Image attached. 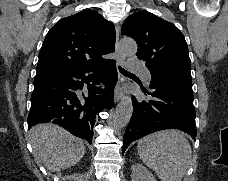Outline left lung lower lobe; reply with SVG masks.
I'll use <instances>...</instances> for the list:
<instances>
[{
	"label": "left lung lower lobe",
	"mask_w": 228,
	"mask_h": 181,
	"mask_svg": "<svg viewBox=\"0 0 228 181\" xmlns=\"http://www.w3.org/2000/svg\"><path fill=\"white\" fill-rule=\"evenodd\" d=\"M151 82L143 96H132L134 111L123 138V153L135 140L164 129H179L196 137L192 84L158 71H150ZM194 140H196L194 138Z\"/></svg>",
	"instance_id": "obj_1"
}]
</instances>
